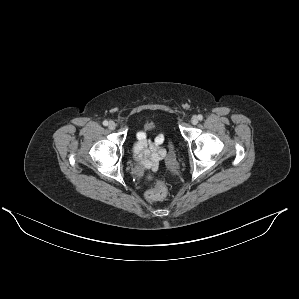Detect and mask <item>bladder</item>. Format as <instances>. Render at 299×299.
Listing matches in <instances>:
<instances>
[{
  "label": "bladder",
  "instance_id": "31cf9c89",
  "mask_svg": "<svg viewBox=\"0 0 299 299\" xmlns=\"http://www.w3.org/2000/svg\"><path fill=\"white\" fill-rule=\"evenodd\" d=\"M154 128V123H152V122H148V123H146L145 125H144V127H143V131H149V130H151V129H153Z\"/></svg>",
  "mask_w": 299,
  "mask_h": 299
}]
</instances>
